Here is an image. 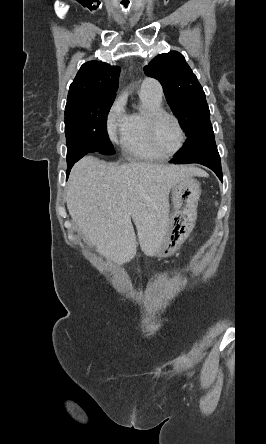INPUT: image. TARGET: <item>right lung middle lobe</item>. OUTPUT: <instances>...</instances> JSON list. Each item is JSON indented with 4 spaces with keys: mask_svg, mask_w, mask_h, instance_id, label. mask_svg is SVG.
Returning a JSON list of instances; mask_svg holds the SVG:
<instances>
[{
    "mask_svg": "<svg viewBox=\"0 0 266 444\" xmlns=\"http://www.w3.org/2000/svg\"><path fill=\"white\" fill-rule=\"evenodd\" d=\"M115 96H101L65 107L67 163L88 153L113 155L114 148L107 133V115Z\"/></svg>",
    "mask_w": 266,
    "mask_h": 444,
    "instance_id": "obj_1",
    "label": "right lung middle lobe"
}]
</instances>
